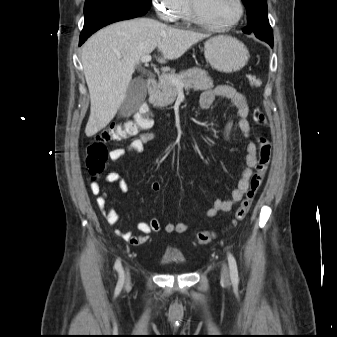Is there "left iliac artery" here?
<instances>
[{"instance_id": "left-iliac-artery-1", "label": "left iliac artery", "mask_w": 337, "mask_h": 337, "mask_svg": "<svg viewBox=\"0 0 337 337\" xmlns=\"http://www.w3.org/2000/svg\"><path fill=\"white\" fill-rule=\"evenodd\" d=\"M228 263L230 268L231 280L234 284H237L239 281L237 263L234 256L231 253H228Z\"/></svg>"}]
</instances>
